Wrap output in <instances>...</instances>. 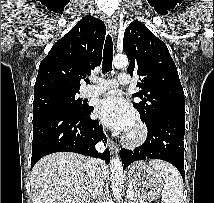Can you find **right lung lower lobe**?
I'll list each match as a JSON object with an SVG mask.
<instances>
[{"label":"right lung lower lobe","mask_w":214,"mask_h":203,"mask_svg":"<svg viewBox=\"0 0 214 203\" xmlns=\"http://www.w3.org/2000/svg\"><path fill=\"white\" fill-rule=\"evenodd\" d=\"M93 107L85 112L52 111L33 118V141L31 168L43 156L54 152H75L91 157H100L108 164L109 150L99 154L95 145L106 142L102 128L90 114Z\"/></svg>","instance_id":"98d812e1"}]
</instances>
